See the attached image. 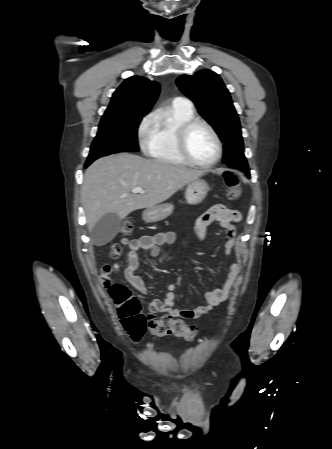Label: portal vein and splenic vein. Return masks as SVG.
<instances>
[{"instance_id":"portal-vein-and-splenic-vein-1","label":"portal vein and splenic vein","mask_w":332,"mask_h":449,"mask_svg":"<svg viewBox=\"0 0 332 449\" xmlns=\"http://www.w3.org/2000/svg\"><path fill=\"white\" fill-rule=\"evenodd\" d=\"M132 192H133V193H141V194H144V193H145V191H144L141 187H135V188H133V189H132Z\"/></svg>"}]
</instances>
